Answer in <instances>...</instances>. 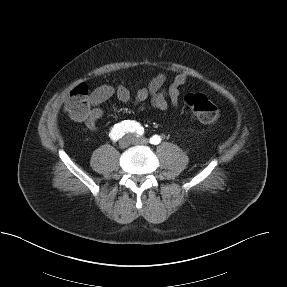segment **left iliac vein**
<instances>
[{"label": "left iliac vein", "mask_w": 287, "mask_h": 287, "mask_svg": "<svg viewBox=\"0 0 287 287\" xmlns=\"http://www.w3.org/2000/svg\"><path fill=\"white\" fill-rule=\"evenodd\" d=\"M131 139H132V143L135 145L148 143V140L144 137H138V136L133 135L131 136Z\"/></svg>", "instance_id": "4c4485c4"}]
</instances>
